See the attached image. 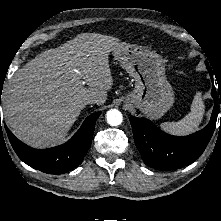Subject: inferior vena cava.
Wrapping results in <instances>:
<instances>
[{
  "instance_id": "602c4592",
  "label": "inferior vena cava",
  "mask_w": 221,
  "mask_h": 221,
  "mask_svg": "<svg viewBox=\"0 0 221 221\" xmlns=\"http://www.w3.org/2000/svg\"><path fill=\"white\" fill-rule=\"evenodd\" d=\"M84 102H85V104H93V103H95L96 101H95L94 99H92V98H88V99H86Z\"/></svg>"
}]
</instances>
